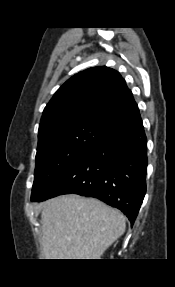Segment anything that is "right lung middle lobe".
<instances>
[{
    "mask_svg": "<svg viewBox=\"0 0 175 287\" xmlns=\"http://www.w3.org/2000/svg\"><path fill=\"white\" fill-rule=\"evenodd\" d=\"M114 126L101 122L65 124L38 136L32 195L43 193Z\"/></svg>",
    "mask_w": 175,
    "mask_h": 287,
    "instance_id": "dd1d6c3e",
    "label": "right lung middle lobe"
}]
</instances>
